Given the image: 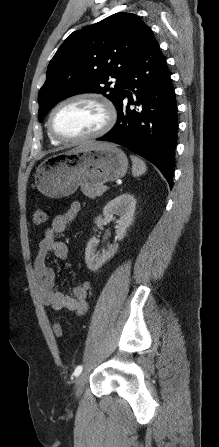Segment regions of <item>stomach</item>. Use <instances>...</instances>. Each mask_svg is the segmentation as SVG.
I'll use <instances>...</instances> for the list:
<instances>
[{"label":"stomach","mask_w":219,"mask_h":447,"mask_svg":"<svg viewBox=\"0 0 219 447\" xmlns=\"http://www.w3.org/2000/svg\"><path fill=\"white\" fill-rule=\"evenodd\" d=\"M127 168L128 159L121 149L91 143L45 159L36 169L35 183L43 195L61 198L73 194L80 185L117 180Z\"/></svg>","instance_id":"obj_1"}]
</instances>
